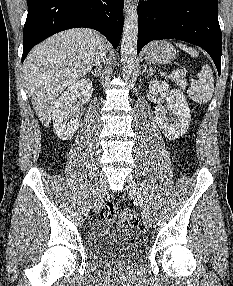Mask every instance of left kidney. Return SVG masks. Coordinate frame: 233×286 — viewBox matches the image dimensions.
Instances as JSON below:
<instances>
[{"label":"left kidney","mask_w":233,"mask_h":286,"mask_svg":"<svg viewBox=\"0 0 233 286\" xmlns=\"http://www.w3.org/2000/svg\"><path fill=\"white\" fill-rule=\"evenodd\" d=\"M149 89L157 103L155 107V120L164 136L169 140H175L185 134L189 128L191 116L183 92L178 89H173L169 92V84L165 81L158 80L151 81ZM163 92H169L166 95V102L168 110L176 117L173 123L166 117L165 109L162 106V99L158 97V94Z\"/></svg>","instance_id":"obj_1"}]
</instances>
